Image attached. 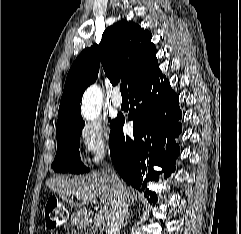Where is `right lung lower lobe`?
Returning a JSON list of instances; mask_svg holds the SVG:
<instances>
[{
  "label": "right lung lower lobe",
  "mask_w": 241,
  "mask_h": 234,
  "mask_svg": "<svg viewBox=\"0 0 241 234\" xmlns=\"http://www.w3.org/2000/svg\"><path fill=\"white\" fill-rule=\"evenodd\" d=\"M158 68L144 82L129 92V120H133V136L123 134L124 117H117L110 134L111 159L119 175L130 185L156 202V194L147 188L148 181H157L175 171L179 145L175 139L182 130L179 99L169 80ZM161 79V81H160ZM135 106V107H134ZM153 165L162 167L161 172Z\"/></svg>",
  "instance_id": "1"
}]
</instances>
